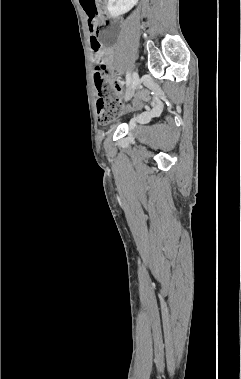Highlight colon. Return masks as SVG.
Returning <instances> with one entry per match:
<instances>
[{
  "instance_id": "1",
  "label": "colon",
  "mask_w": 241,
  "mask_h": 379,
  "mask_svg": "<svg viewBox=\"0 0 241 379\" xmlns=\"http://www.w3.org/2000/svg\"><path fill=\"white\" fill-rule=\"evenodd\" d=\"M103 0H80V4L84 9L90 31L91 47L95 56V73L94 83L97 91V110L99 120L102 123L112 121L121 110V101L105 83L106 67L102 63V48L98 39L97 19L101 16Z\"/></svg>"
}]
</instances>
